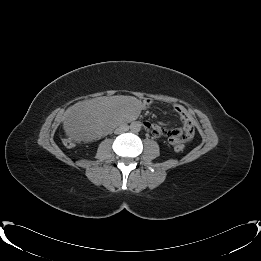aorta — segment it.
I'll use <instances>...</instances> for the list:
<instances>
[{"label":"aorta","mask_w":261,"mask_h":261,"mask_svg":"<svg viewBox=\"0 0 261 261\" xmlns=\"http://www.w3.org/2000/svg\"><path fill=\"white\" fill-rule=\"evenodd\" d=\"M131 127H132L133 131H139L140 130V125L139 124L133 123Z\"/></svg>","instance_id":"1"}]
</instances>
